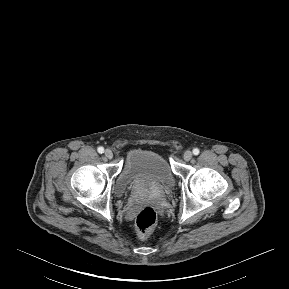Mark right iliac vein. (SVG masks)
Returning <instances> with one entry per match:
<instances>
[{"label": "right iliac vein", "mask_w": 289, "mask_h": 289, "mask_svg": "<svg viewBox=\"0 0 289 289\" xmlns=\"http://www.w3.org/2000/svg\"><path fill=\"white\" fill-rule=\"evenodd\" d=\"M105 157L108 159H112L113 158V152L110 149H106L105 152Z\"/></svg>", "instance_id": "right-iliac-vein-1"}]
</instances>
